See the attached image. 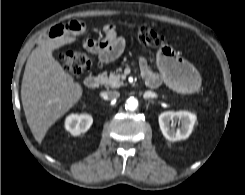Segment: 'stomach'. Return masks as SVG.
<instances>
[{
	"label": "stomach",
	"mask_w": 245,
	"mask_h": 195,
	"mask_svg": "<svg viewBox=\"0 0 245 195\" xmlns=\"http://www.w3.org/2000/svg\"><path fill=\"white\" fill-rule=\"evenodd\" d=\"M156 63L166 84L174 91L191 94L199 90V73L191 64L180 59L172 47L162 45L157 52Z\"/></svg>",
	"instance_id": "stomach-1"
}]
</instances>
